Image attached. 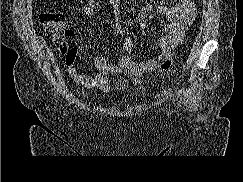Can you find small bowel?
Listing matches in <instances>:
<instances>
[{
	"label": "small bowel",
	"mask_w": 243,
	"mask_h": 182,
	"mask_svg": "<svg viewBox=\"0 0 243 182\" xmlns=\"http://www.w3.org/2000/svg\"><path fill=\"white\" fill-rule=\"evenodd\" d=\"M100 10V0H88L82 7L81 13L93 16ZM156 11L163 15L167 22L163 27L164 34L156 39V45L161 50L158 59L135 60L132 56L133 41L124 39L125 54L118 63L111 64L104 57L94 60L97 73L88 75L81 72L76 65L77 49H72L70 55L65 57V65L69 76L80 86L86 89L96 88L106 94L111 85L118 90H126L129 82L140 85L142 76L148 71H154L159 67L160 60L169 57L174 49L183 41L189 27L196 18L197 8L191 0H177L173 6L153 5L147 2L138 14L137 25L143 31L148 15ZM125 75V77H119ZM111 77H118L111 81Z\"/></svg>",
	"instance_id": "obj_1"
}]
</instances>
